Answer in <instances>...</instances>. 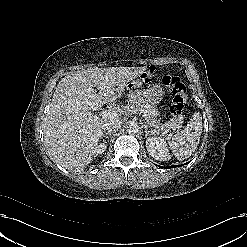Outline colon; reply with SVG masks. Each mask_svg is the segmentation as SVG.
Returning a JSON list of instances; mask_svg holds the SVG:
<instances>
[{"mask_svg":"<svg viewBox=\"0 0 247 247\" xmlns=\"http://www.w3.org/2000/svg\"><path fill=\"white\" fill-rule=\"evenodd\" d=\"M162 84L172 92L173 98L170 105V112L173 115H181L187 101L186 87L177 76L166 75L162 78Z\"/></svg>","mask_w":247,"mask_h":247,"instance_id":"obj_1","label":"colon"}]
</instances>
